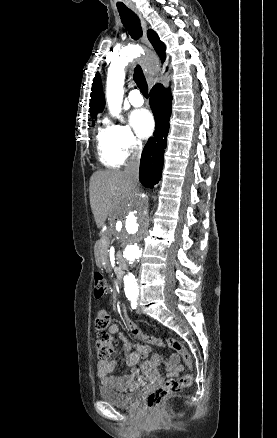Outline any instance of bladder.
Masks as SVG:
<instances>
[{
	"label": "bladder",
	"instance_id": "31cf9c89",
	"mask_svg": "<svg viewBox=\"0 0 277 438\" xmlns=\"http://www.w3.org/2000/svg\"><path fill=\"white\" fill-rule=\"evenodd\" d=\"M97 396L103 401L114 407L121 409H134L141 400V392L133 391L123 394L112 388L105 387L97 391Z\"/></svg>",
	"mask_w": 277,
	"mask_h": 438
}]
</instances>
